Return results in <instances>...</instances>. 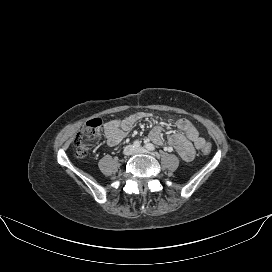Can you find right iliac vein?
<instances>
[{
    "mask_svg": "<svg viewBox=\"0 0 272 272\" xmlns=\"http://www.w3.org/2000/svg\"><path fill=\"white\" fill-rule=\"evenodd\" d=\"M133 152H134L133 146H129L125 151L126 155H131V154H133Z\"/></svg>",
    "mask_w": 272,
    "mask_h": 272,
    "instance_id": "obj_1",
    "label": "right iliac vein"
}]
</instances>
